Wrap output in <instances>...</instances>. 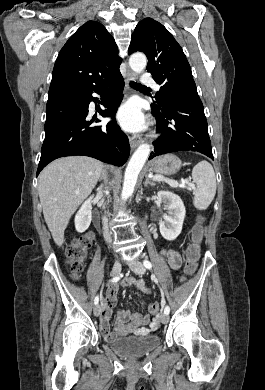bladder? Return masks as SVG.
I'll list each match as a JSON object with an SVG mask.
<instances>
[{
	"instance_id": "31cf9c89",
	"label": "bladder",
	"mask_w": 265,
	"mask_h": 390,
	"mask_svg": "<svg viewBox=\"0 0 265 390\" xmlns=\"http://www.w3.org/2000/svg\"><path fill=\"white\" fill-rule=\"evenodd\" d=\"M160 343V338L156 335L115 336L109 341V346L118 355L126 359H135L149 354Z\"/></svg>"
}]
</instances>
